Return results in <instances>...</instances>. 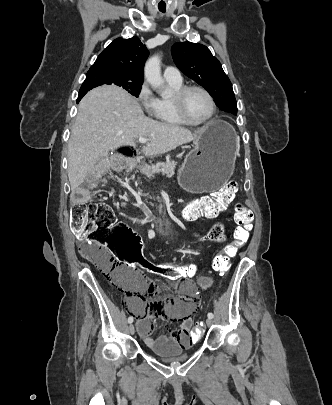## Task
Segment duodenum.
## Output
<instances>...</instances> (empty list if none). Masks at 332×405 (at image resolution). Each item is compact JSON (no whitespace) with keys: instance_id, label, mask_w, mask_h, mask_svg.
Returning a JSON list of instances; mask_svg holds the SVG:
<instances>
[{"instance_id":"obj_1","label":"duodenum","mask_w":332,"mask_h":405,"mask_svg":"<svg viewBox=\"0 0 332 405\" xmlns=\"http://www.w3.org/2000/svg\"><path fill=\"white\" fill-rule=\"evenodd\" d=\"M123 156H125L126 159H128V160H130V161H134L135 158H136L135 154H134L133 152H131V151H128V150H126V151L123 152ZM206 215H207V217H213V215H212L211 213L206 214ZM183 218H184V220H186V221H191V220L194 219L193 215H192L190 212H186V213L183 215ZM163 225L166 226V227L169 226V224H168L167 222H164Z\"/></svg>"}]
</instances>
